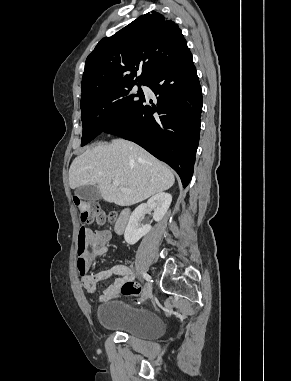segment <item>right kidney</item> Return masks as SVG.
<instances>
[{"instance_id":"right-kidney-1","label":"right kidney","mask_w":291,"mask_h":381,"mask_svg":"<svg viewBox=\"0 0 291 381\" xmlns=\"http://www.w3.org/2000/svg\"><path fill=\"white\" fill-rule=\"evenodd\" d=\"M171 202V194L161 192L152 196L146 204L139 205L130 216L124 233L125 241L133 245L150 232L151 225L141 223L147 209L154 211L153 219L158 222L165 216Z\"/></svg>"}]
</instances>
